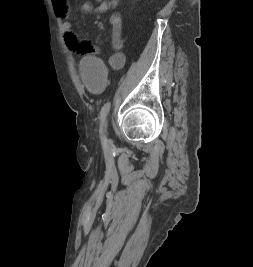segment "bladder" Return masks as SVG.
Segmentation results:
<instances>
[{"label": "bladder", "instance_id": "bladder-1", "mask_svg": "<svg viewBox=\"0 0 253 267\" xmlns=\"http://www.w3.org/2000/svg\"><path fill=\"white\" fill-rule=\"evenodd\" d=\"M104 64L103 61L95 56H86L80 63V76L91 92H99L104 87Z\"/></svg>", "mask_w": 253, "mask_h": 267}]
</instances>
